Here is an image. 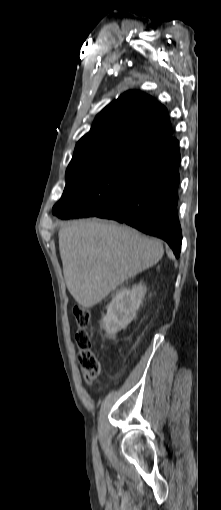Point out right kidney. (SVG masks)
I'll list each match as a JSON object with an SVG mask.
<instances>
[{
  "instance_id": "right-kidney-1",
  "label": "right kidney",
  "mask_w": 221,
  "mask_h": 510,
  "mask_svg": "<svg viewBox=\"0 0 221 510\" xmlns=\"http://www.w3.org/2000/svg\"><path fill=\"white\" fill-rule=\"evenodd\" d=\"M146 294L142 284L116 292L115 297L107 306V314L103 325L108 334L114 335L124 329L136 317V312Z\"/></svg>"
}]
</instances>
